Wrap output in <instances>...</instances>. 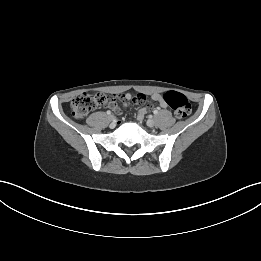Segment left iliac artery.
I'll use <instances>...</instances> for the list:
<instances>
[{"instance_id": "obj_1", "label": "left iliac artery", "mask_w": 261, "mask_h": 261, "mask_svg": "<svg viewBox=\"0 0 261 261\" xmlns=\"http://www.w3.org/2000/svg\"><path fill=\"white\" fill-rule=\"evenodd\" d=\"M153 113L156 115V114H158V109H155L154 111H153Z\"/></svg>"}]
</instances>
